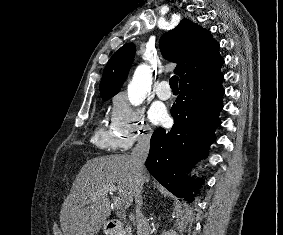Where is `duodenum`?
<instances>
[{
    "label": "duodenum",
    "mask_w": 283,
    "mask_h": 235,
    "mask_svg": "<svg viewBox=\"0 0 283 235\" xmlns=\"http://www.w3.org/2000/svg\"><path fill=\"white\" fill-rule=\"evenodd\" d=\"M122 227V223L119 220H109L105 224V228L110 231H119Z\"/></svg>",
    "instance_id": "1"
}]
</instances>
